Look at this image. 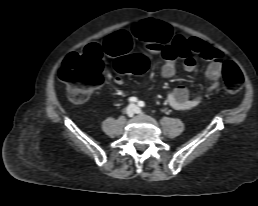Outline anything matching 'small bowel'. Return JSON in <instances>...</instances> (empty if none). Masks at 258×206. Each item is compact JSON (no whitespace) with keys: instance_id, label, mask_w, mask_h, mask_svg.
Listing matches in <instances>:
<instances>
[{"instance_id":"1","label":"small bowel","mask_w":258,"mask_h":206,"mask_svg":"<svg viewBox=\"0 0 258 206\" xmlns=\"http://www.w3.org/2000/svg\"><path fill=\"white\" fill-rule=\"evenodd\" d=\"M132 45V35L128 32L119 31L109 35L102 46L91 44L86 47H98L110 57L119 58L129 51ZM145 47L149 52L160 53L164 58L161 75L165 78L173 77L176 73V60L182 59V67L185 72H193L196 68L194 55L209 61L206 76L214 81L208 93L216 91L220 86V77L224 64L223 53L212 47L205 41L187 37L184 34L173 32L166 25L154 32L152 39L145 40ZM114 84L122 85L123 79L117 76L113 79ZM202 96L190 98L189 90L185 86H177L167 94L166 102L175 110L186 111L200 105Z\"/></svg>"}]
</instances>
